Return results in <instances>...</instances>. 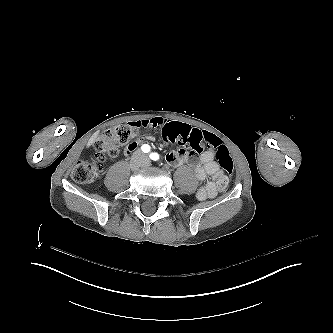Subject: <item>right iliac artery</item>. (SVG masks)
<instances>
[{"label": "right iliac artery", "mask_w": 333, "mask_h": 333, "mask_svg": "<svg viewBox=\"0 0 333 333\" xmlns=\"http://www.w3.org/2000/svg\"><path fill=\"white\" fill-rule=\"evenodd\" d=\"M141 149L143 152L148 153L150 151V146L148 144H144Z\"/></svg>", "instance_id": "82829eb1"}]
</instances>
